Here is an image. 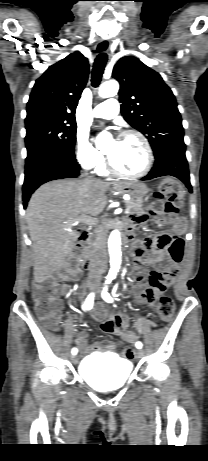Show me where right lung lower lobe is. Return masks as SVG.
Returning <instances> with one entry per match:
<instances>
[{"label": "right lung lower lobe", "instance_id": "1", "mask_svg": "<svg viewBox=\"0 0 208 461\" xmlns=\"http://www.w3.org/2000/svg\"><path fill=\"white\" fill-rule=\"evenodd\" d=\"M80 166L75 157L57 150H46L26 160L23 183V206L31 194L43 183L51 180L77 177Z\"/></svg>", "mask_w": 208, "mask_h": 461}]
</instances>
